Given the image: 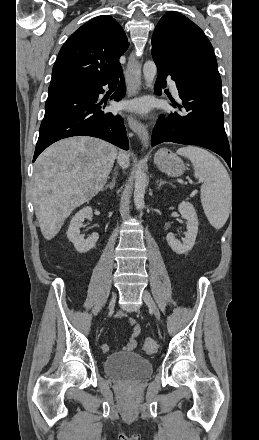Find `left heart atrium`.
Segmentation results:
<instances>
[{
    "instance_id": "1",
    "label": "left heart atrium",
    "mask_w": 259,
    "mask_h": 440,
    "mask_svg": "<svg viewBox=\"0 0 259 440\" xmlns=\"http://www.w3.org/2000/svg\"><path fill=\"white\" fill-rule=\"evenodd\" d=\"M122 107L137 113H145L149 109V103L144 99H137L123 103Z\"/></svg>"
}]
</instances>
